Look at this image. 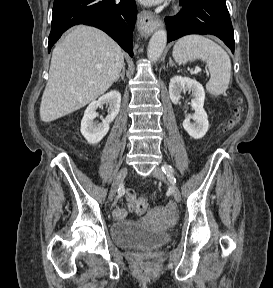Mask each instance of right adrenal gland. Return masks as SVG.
<instances>
[{"label": "right adrenal gland", "mask_w": 273, "mask_h": 288, "mask_svg": "<svg viewBox=\"0 0 273 288\" xmlns=\"http://www.w3.org/2000/svg\"><path fill=\"white\" fill-rule=\"evenodd\" d=\"M125 77V64L122 68V72L119 74V76L117 77V79L115 80V82H117L119 80V78H121L122 80H124Z\"/></svg>", "instance_id": "right-adrenal-gland-1"}]
</instances>
